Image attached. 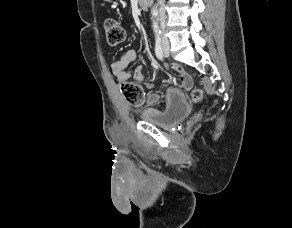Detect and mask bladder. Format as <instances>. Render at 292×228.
<instances>
[{
	"label": "bladder",
	"mask_w": 292,
	"mask_h": 228,
	"mask_svg": "<svg viewBox=\"0 0 292 228\" xmlns=\"http://www.w3.org/2000/svg\"><path fill=\"white\" fill-rule=\"evenodd\" d=\"M190 111L189 104L184 100L175 104L170 110L163 114H151L143 116V120L147 123L158 127H170L186 117Z\"/></svg>",
	"instance_id": "1"
}]
</instances>
